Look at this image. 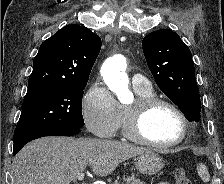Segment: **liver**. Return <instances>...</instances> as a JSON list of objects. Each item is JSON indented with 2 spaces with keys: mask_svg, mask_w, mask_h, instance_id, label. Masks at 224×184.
Returning a JSON list of instances; mask_svg holds the SVG:
<instances>
[{
  "mask_svg": "<svg viewBox=\"0 0 224 184\" xmlns=\"http://www.w3.org/2000/svg\"><path fill=\"white\" fill-rule=\"evenodd\" d=\"M146 152L150 150L115 140L43 137L14 158V184H70L87 166L105 177L123 161Z\"/></svg>",
  "mask_w": 224,
  "mask_h": 184,
  "instance_id": "obj_1",
  "label": "liver"
}]
</instances>
